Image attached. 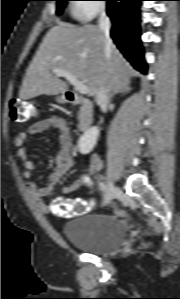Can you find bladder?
Listing matches in <instances>:
<instances>
[{
	"label": "bladder",
	"mask_w": 180,
	"mask_h": 299,
	"mask_svg": "<svg viewBox=\"0 0 180 299\" xmlns=\"http://www.w3.org/2000/svg\"><path fill=\"white\" fill-rule=\"evenodd\" d=\"M66 240L87 253L105 255L117 252L124 244L127 229L113 215L82 214L63 226Z\"/></svg>",
	"instance_id": "31cf9c89"
}]
</instances>
